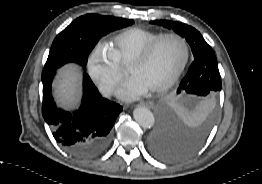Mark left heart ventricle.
I'll list each match as a JSON object with an SVG mask.
<instances>
[{"mask_svg":"<svg viewBox=\"0 0 262 184\" xmlns=\"http://www.w3.org/2000/svg\"><path fill=\"white\" fill-rule=\"evenodd\" d=\"M185 57L183 43L176 38L160 42L144 64L135 67L131 75L148 89L167 82L182 64Z\"/></svg>","mask_w":262,"mask_h":184,"instance_id":"1","label":"left heart ventricle"}]
</instances>
